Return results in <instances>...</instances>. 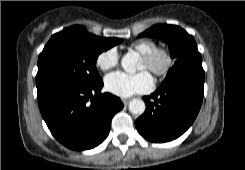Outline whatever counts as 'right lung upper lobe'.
Instances as JSON below:
<instances>
[{
    "label": "right lung upper lobe",
    "mask_w": 245,
    "mask_h": 170,
    "mask_svg": "<svg viewBox=\"0 0 245 170\" xmlns=\"http://www.w3.org/2000/svg\"><path fill=\"white\" fill-rule=\"evenodd\" d=\"M65 30L84 31L88 36H90V37H92V38H94V39L103 41V42H108V43H114V42H117V40H118V38H100V37H97V36H95V35H93V34L88 33L85 27H83V26H78V25H75V26L66 28Z\"/></svg>",
    "instance_id": "cb5924a9"
}]
</instances>
